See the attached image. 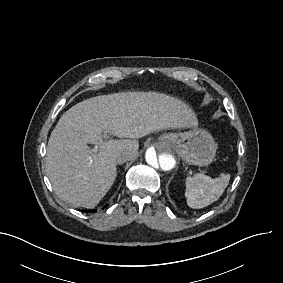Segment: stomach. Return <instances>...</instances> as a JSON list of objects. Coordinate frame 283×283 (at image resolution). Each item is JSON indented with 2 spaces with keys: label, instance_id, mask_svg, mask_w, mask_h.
I'll list each match as a JSON object with an SVG mask.
<instances>
[{
  "label": "stomach",
  "instance_id": "obj_1",
  "mask_svg": "<svg viewBox=\"0 0 283 283\" xmlns=\"http://www.w3.org/2000/svg\"><path fill=\"white\" fill-rule=\"evenodd\" d=\"M159 140L163 147L174 149L185 163L191 165L208 166L216 156L217 144L204 129L164 133Z\"/></svg>",
  "mask_w": 283,
  "mask_h": 283
}]
</instances>
